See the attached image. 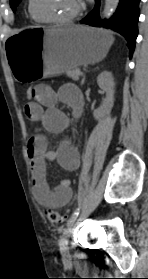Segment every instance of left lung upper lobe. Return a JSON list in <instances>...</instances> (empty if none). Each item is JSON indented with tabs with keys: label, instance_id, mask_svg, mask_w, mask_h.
Returning a JSON list of instances; mask_svg holds the SVG:
<instances>
[{
	"label": "left lung upper lobe",
	"instance_id": "1",
	"mask_svg": "<svg viewBox=\"0 0 148 279\" xmlns=\"http://www.w3.org/2000/svg\"><path fill=\"white\" fill-rule=\"evenodd\" d=\"M21 0H10V6L12 10H15L16 6L20 3Z\"/></svg>",
	"mask_w": 148,
	"mask_h": 279
}]
</instances>
